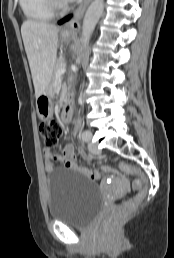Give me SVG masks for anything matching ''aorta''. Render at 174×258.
Segmentation results:
<instances>
[{
    "instance_id": "1",
    "label": "aorta",
    "mask_w": 174,
    "mask_h": 258,
    "mask_svg": "<svg viewBox=\"0 0 174 258\" xmlns=\"http://www.w3.org/2000/svg\"><path fill=\"white\" fill-rule=\"evenodd\" d=\"M103 11L104 0H93V2L88 7L84 15L82 33L80 38L83 49L87 47L96 27V24L103 14Z\"/></svg>"
}]
</instances>
